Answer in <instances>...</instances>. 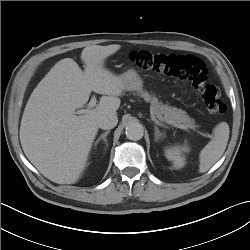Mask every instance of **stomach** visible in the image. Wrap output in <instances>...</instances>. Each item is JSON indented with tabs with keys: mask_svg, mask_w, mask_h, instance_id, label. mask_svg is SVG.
I'll return each instance as SVG.
<instances>
[{
	"mask_svg": "<svg viewBox=\"0 0 250 250\" xmlns=\"http://www.w3.org/2000/svg\"><path fill=\"white\" fill-rule=\"evenodd\" d=\"M120 77L123 79V88L126 91H139L143 87V80L134 69H129Z\"/></svg>",
	"mask_w": 250,
	"mask_h": 250,
	"instance_id": "stomach-1",
	"label": "stomach"
}]
</instances>
